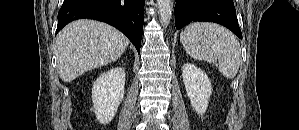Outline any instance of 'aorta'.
Wrapping results in <instances>:
<instances>
[{
    "label": "aorta",
    "mask_w": 299,
    "mask_h": 130,
    "mask_svg": "<svg viewBox=\"0 0 299 130\" xmlns=\"http://www.w3.org/2000/svg\"><path fill=\"white\" fill-rule=\"evenodd\" d=\"M160 22L167 26L172 16V0H157Z\"/></svg>",
    "instance_id": "762f6f07"
}]
</instances>
